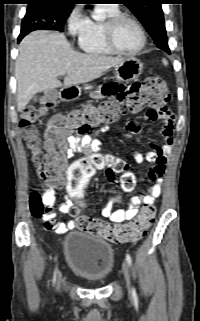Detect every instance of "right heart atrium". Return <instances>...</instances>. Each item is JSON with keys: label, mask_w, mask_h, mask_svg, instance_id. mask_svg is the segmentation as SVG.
Returning <instances> with one entry per match:
<instances>
[{"label": "right heart atrium", "mask_w": 200, "mask_h": 321, "mask_svg": "<svg viewBox=\"0 0 200 321\" xmlns=\"http://www.w3.org/2000/svg\"><path fill=\"white\" fill-rule=\"evenodd\" d=\"M66 23L69 34L71 36H79L86 28L88 18L84 15L79 6H75L70 11Z\"/></svg>", "instance_id": "obj_1"}]
</instances>
